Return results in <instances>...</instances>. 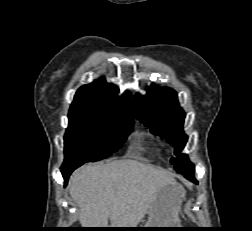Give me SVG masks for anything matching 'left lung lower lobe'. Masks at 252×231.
Instances as JSON below:
<instances>
[{
    "instance_id": "obj_1",
    "label": "left lung lower lobe",
    "mask_w": 252,
    "mask_h": 231,
    "mask_svg": "<svg viewBox=\"0 0 252 231\" xmlns=\"http://www.w3.org/2000/svg\"><path fill=\"white\" fill-rule=\"evenodd\" d=\"M187 179L191 180V181H194L195 183H197V181L195 180L194 178V171L192 172H185V173H182Z\"/></svg>"
}]
</instances>
